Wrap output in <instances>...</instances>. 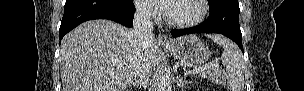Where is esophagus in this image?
<instances>
[{
  "mask_svg": "<svg viewBox=\"0 0 304 91\" xmlns=\"http://www.w3.org/2000/svg\"><path fill=\"white\" fill-rule=\"evenodd\" d=\"M158 43L160 45H170L171 41L166 35H159L158 36Z\"/></svg>",
  "mask_w": 304,
  "mask_h": 91,
  "instance_id": "obj_1",
  "label": "esophagus"
}]
</instances>
